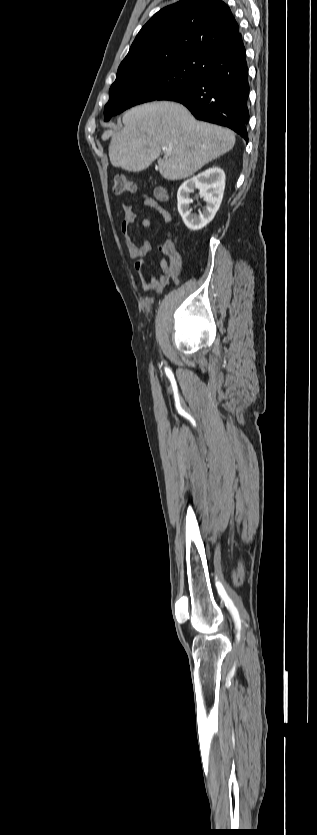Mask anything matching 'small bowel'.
<instances>
[{"label":"small bowel","instance_id":"small-bowel-1","mask_svg":"<svg viewBox=\"0 0 317 835\" xmlns=\"http://www.w3.org/2000/svg\"><path fill=\"white\" fill-rule=\"evenodd\" d=\"M142 203L144 206L153 208L157 215L165 222H170L172 217L168 210H166L161 203L169 199V193L166 188L159 186L154 189L153 196L143 194ZM124 218L121 225V230L125 236V242L129 257L133 260L134 268L142 271L146 267L145 257L152 252V245L145 240L141 244L136 243L131 236V227L135 223L136 213L131 205H124ZM151 220L143 218L141 226L149 228ZM164 258L160 260V268L157 273L149 272L144 277L145 289L151 292H161L169 283L170 277L175 274L181 266V258L176 251L169 252L165 248L161 250Z\"/></svg>","mask_w":317,"mask_h":835}]
</instances>
